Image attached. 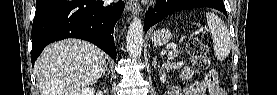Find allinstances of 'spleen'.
Returning a JSON list of instances; mask_svg holds the SVG:
<instances>
[{"label": "spleen", "instance_id": "obj_1", "mask_svg": "<svg viewBox=\"0 0 277 95\" xmlns=\"http://www.w3.org/2000/svg\"><path fill=\"white\" fill-rule=\"evenodd\" d=\"M207 24L213 39V48L217 60H225L231 51V38L224 22L213 12L206 14Z\"/></svg>", "mask_w": 277, "mask_h": 95}]
</instances>
